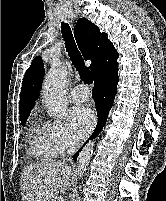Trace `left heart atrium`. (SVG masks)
<instances>
[{
	"mask_svg": "<svg viewBox=\"0 0 166 201\" xmlns=\"http://www.w3.org/2000/svg\"><path fill=\"white\" fill-rule=\"evenodd\" d=\"M69 124L73 137L81 140L88 135L95 124V114L87 106L78 105L69 112Z\"/></svg>",
	"mask_w": 166,
	"mask_h": 201,
	"instance_id": "left-heart-atrium-1",
	"label": "left heart atrium"
}]
</instances>
